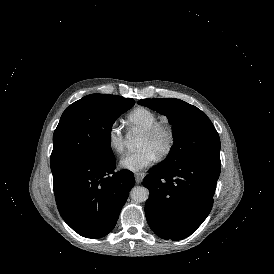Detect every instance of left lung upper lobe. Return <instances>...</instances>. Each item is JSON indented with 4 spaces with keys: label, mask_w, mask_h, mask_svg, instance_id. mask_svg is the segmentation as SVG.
Segmentation results:
<instances>
[{
    "label": "left lung upper lobe",
    "mask_w": 274,
    "mask_h": 274,
    "mask_svg": "<svg viewBox=\"0 0 274 274\" xmlns=\"http://www.w3.org/2000/svg\"><path fill=\"white\" fill-rule=\"evenodd\" d=\"M138 103L167 116L172 124L174 144L162 165L174 166L202 156L220 158L219 135L197 107L173 98L142 99Z\"/></svg>",
    "instance_id": "obj_1"
}]
</instances>
